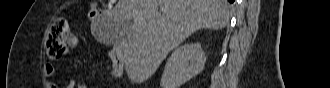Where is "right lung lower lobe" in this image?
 <instances>
[{"mask_svg": "<svg viewBox=\"0 0 330 88\" xmlns=\"http://www.w3.org/2000/svg\"><path fill=\"white\" fill-rule=\"evenodd\" d=\"M230 3H233L234 2V0H228Z\"/></svg>", "mask_w": 330, "mask_h": 88, "instance_id": "1", "label": "right lung lower lobe"}]
</instances>
